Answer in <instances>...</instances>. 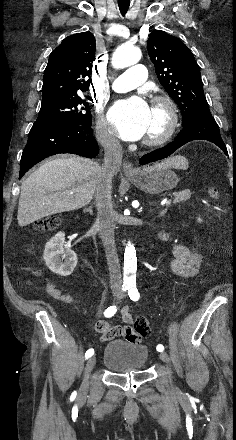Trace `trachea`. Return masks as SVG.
I'll list each match as a JSON object with an SVG mask.
<instances>
[{"mask_svg": "<svg viewBox=\"0 0 236 440\" xmlns=\"http://www.w3.org/2000/svg\"><path fill=\"white\" fill-rule=\"evenodd\" d=\"M120 12L122 15H125L129 9L130 3H118Z\"/></svg>", "mask_w": 236, "mask_h": 440, "instance_id": "trachea-1", "label": "trachea"}]
</instances>
